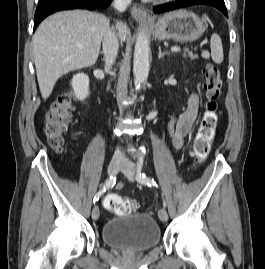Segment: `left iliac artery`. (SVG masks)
<instances>
[{"label":"left iliac artery","instance_id":"44dca946","mask_svg":"<svg viewBox=\"0 0 265 269\" xmlns=\"http://www.w3.org/2000/svg\"><path fill=\"white\" fill-rule=\"evenodd\" d=\"M143 163H144V158L140 157L139 161L137 163L136 180L141 184L158 187V185H157V183H156V181L154 179H151V178L147 177L144 173L141 172L142 167H143ZM163 206L164 207L166 206L165 200L163 201Z\"/></svg>","mask_w":265,"mask_h":269}]
</instances>
